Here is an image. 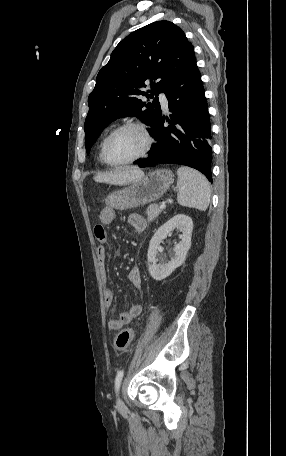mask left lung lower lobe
<instances>
[{
	"label": "left lung lower lobe",
	"instance_id": "1",
	"mask_svg": "<svg viewBox=\"0 0 286 456\" xmlns=\"http://www.w3.org/2000/svg\"><path fill=\"white\" fill-rule=\"evenodd\" d=\"M171 120L165 127L164 116L155 123L150 135L157 143L150 156L138 162L139 167L157 163L180 164L195 168L212 182L211 130L208 105L201 81V74L192 60L184 71L168 86Z\"/></svg>",
	"mask_w": 286,
	"mask_h": 456
}]
</instances>
